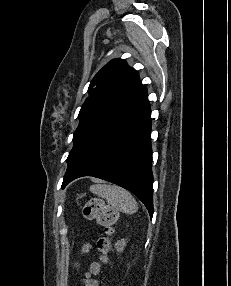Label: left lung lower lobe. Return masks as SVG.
Listing matches in <instances>:
<instances>
[{
  "mask_svg": "<svg viewBox=\"0 0 231 286\" xmlns=\"http://www.w3.org/2000/svg\"><path fill=\"white\" fill-rule=\"evenodd\" d=\"M151 111L144 86L91 128L71 150L62 187L82 176L115 183L153 215Z\"/></svg>",
  "mask_w": 231,
  "mask_h": 286,
  "instance_id": "left-lung-lower-lobe-1",
  "label": "left lung lower lobe"
}]
</instances>
